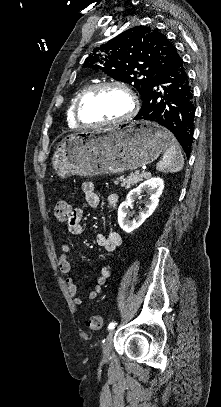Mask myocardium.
I'll list each match as a JSON object with an SVG mask.
<instances>
[{
	"mask_svg": "<svg viewBox=\"0 0 221 407\" xmlns=\"http://www.w3.org/2000/svg\"><path fill=\"white\" fill-rule=\"evenodd\" d=\"M106 88H118L126 92V94L129 96L130 101H131V108L129 112L117 119L114 120H108V121H99V122H89L86 120L83 114V107L86 104V102L98 91ZM139 108V102L138 98L135 94V92L126 84L120 83V82H103V83H98L90 86L87 90H85L80 97L77 99L75 107H74V117L75 120L78 124L80 125H95V126H101V125H114V124H119L122 122H125L132 118L136 112L138 111Z\"/></svg>",
	"mask_w": 221,
	"mask_h": 407,
	"instance_id": "myocardium-1",
	"label": "myocardium"
}]
</instances>
